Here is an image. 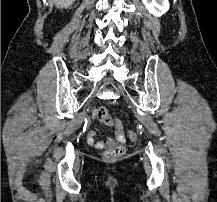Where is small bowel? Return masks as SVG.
I'll return each instance as SVG.
<instances>
[{
  "label": "small bowel",
  "instance_id": "1",
  "mask_svg": "<svg viewBox=\"0 0 217 202\" xmlns=\"http://www.w3.org/2000/svg\"><path fill=\"white\" fill-rule=\"evenodd\" d=\"M98 111L93 114V119L98 121ZM104 123V121H101ZM114 127H115V134H116V139L120 142L124 141V131L121 125L117 122L114 121ZM87 143L90 146H93L97 149H102L106 144H110L111 140L107 141H101V140H96L95 139V131L94 130H89L87 133Z\"/></svg>",
  "mask_w": 217,
  "mask_h": 202
}]
</instances>
